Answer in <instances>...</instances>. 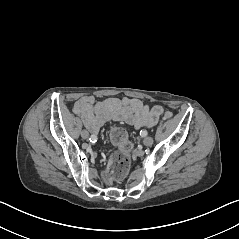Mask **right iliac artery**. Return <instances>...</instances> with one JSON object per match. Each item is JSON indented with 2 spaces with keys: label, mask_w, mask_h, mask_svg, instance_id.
I'll list each match as a JSON object with an SVG mask.
<instances>
[{
  "label": "right iliac artery",
  "mask_w": 239,
  "mask_h": 239,
  "mask_svg": "<svg viewBox=\"0 0 239 239\" xmlns=\"http://www.w3.org/2000/svg\"><path fill=\"white\" fill-rule=\"evenodd\" d=\"M90 140H92V142H96L97 137L95 135H92Z\"/></svg>",
  "instance_id": "right-iliac-artery-1"
}]
</instances>
